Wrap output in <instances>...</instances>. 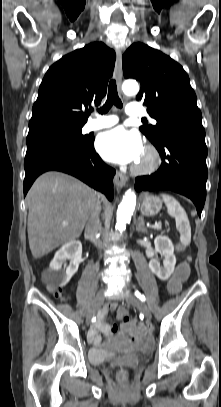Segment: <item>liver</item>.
<instances>
[{"instance_id":"1","label":"liver","mask_w":221,"mask_h":407,"mask_svg":"<svg viewBox=\"0 0 221 407\" xmlns=\"http://www.w3.org/2000/svg\"><path fill=\"white\" fill-rule=\"evenodd\" d=\"M97 196L93 189L67 174L50 171L39 176L26 196L28 240L33 257L41 258L77 239Z\"/></svg>"}]
</instances>
